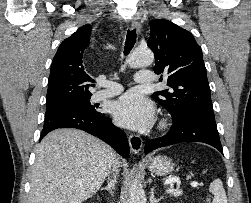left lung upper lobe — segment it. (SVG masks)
Wrapping results in <instances>:
<instances>
[{"label":"left lung upper lobe","mask_w":251,"mask_h":203,"mask_svg":"<svg viewBox=\"0 0 251 203\" xmlns=\"http://www.w3.org/2000/svg\"><path fill=\"white\" fill-rule=\"evenodd\" d=\"M149 26L147 45L155 55L153 70L164 74L170 87L154 93L155 99L173 121L192 114L215 120L202 50L193 35L164 19L153 20Z\"/></svg>","instance_id":"5c2ea615"}]
</instances>
